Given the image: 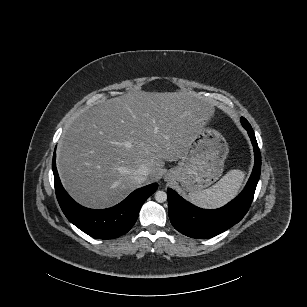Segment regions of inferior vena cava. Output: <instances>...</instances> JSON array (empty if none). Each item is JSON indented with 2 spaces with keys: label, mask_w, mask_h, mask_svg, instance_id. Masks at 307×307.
I'll list each match as a JSON object with an SVG mask.
<instances>
[{
  "label": "inferior vena cava",
  "mask_w": 307,
  "mask_h": 307,
  "mask_svg": "<svg viewBox=\"0 0 307 307\" xmlns=\"http://www.w3.org/2000/svg\"><path fill=\"white\" fill-rule=\"evenodd\" d=\"M150 167L147 165H141L139 168L133 173V178L136 184H142L145 182L147 176L149 175Z\"/></svg>",
  "instance_id": "1"
}]
</instances>
